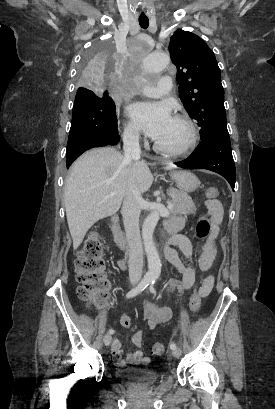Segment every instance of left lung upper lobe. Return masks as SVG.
I'll list each match as a JSON object with an SVG mask.
<instances>
[{
    "label": "left lung upper lobe",
    "mask_w": 275,
    "mask_h": 409,
    "mask_svg": "<svg viewBox=\"0 0 275 409\" xmlns=\"http://www.w3.org/2000/svg\"><path fill=\"white\" fill-rule=\"evenodd\" d=\"M169 51L177 67L179 97L201 127V141L228 134L221 73L213 51L199 36L182 29L171 36Z\"/></svg>",
    "instance_id": "1"
}]
</instances>
